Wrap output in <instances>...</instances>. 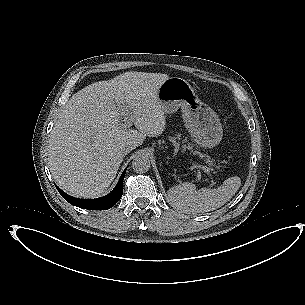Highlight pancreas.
I'll return each instance as SVG.
<instances>
[{
    "instance_id": "1",
    "label": "pancreas",
    "mask_w": 305,
    "mask_h": 305,
    "mask_svg": "<svg viewBox=\"0 0 305 305\" xmlns=\"http://www.w3.org/2000/svg\"><path fill=\"white\" fill-rule=\"evenodd\" d=\"M186 142V141H185ZM188 149V150H192L193 149V146H192V144H190V143H187V145L186 144H184L183 145V149ZM195 154H197V155H199L200 157H203V155L200 153V152H195ZM208 162H209V165H213V161H210V160H208Z\"/></svg>"
}]
</instances>
